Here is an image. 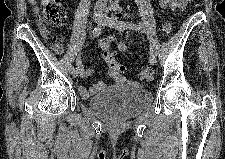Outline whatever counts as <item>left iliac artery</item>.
I'll return each mask as SVG.
<instances>
[{"label":"left iliac artery","instance_id":"obj_1","mask_svg":"<svg viewBox=\"0 0 225 159\" xmlns=\"http://www.w3.org/2000/svg\"><path fill=\"white\" fill-rule=\"evenodd\" d=\"M126 24L131 28V29H134V30H137L139 31L140 33H142V38L144 41H147L148 40V35H147V32L146 31H143L142 30V27L138 24H135V23H132V22H126ZM148 47L150 48V51L154 52L153 48H152V45L148 42L147 43Z\"/></svg>","mask_w":225,"mask_h":159}]
</instances>
